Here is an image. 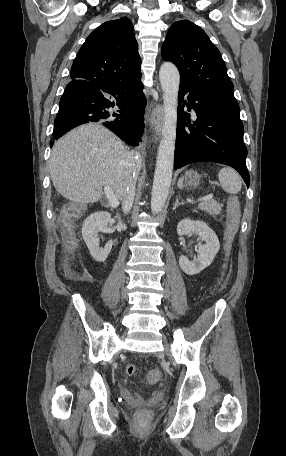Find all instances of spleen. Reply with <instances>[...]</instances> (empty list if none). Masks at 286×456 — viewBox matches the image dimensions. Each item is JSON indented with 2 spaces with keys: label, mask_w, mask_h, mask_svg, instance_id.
<instances>
[{
  "label": "spleen",
  "mask_w": 286,
  "mask_h": 456,
  "mask_svg": "<svg viewBox=\"0 0 286 456\" xmlns=\"http://www.w3.org/2000/svg\"><path fill=\"white\" fill-rule=\"evenodd\" d=\"M221 187L230 194H237L241 190L242 181L239 174L232 168L224 167L218 173ZM178 187L183 188V178L179 179Z\"/></svg>",
  "instance_id": "spleen-1"
}]
</instances>
